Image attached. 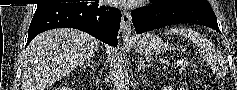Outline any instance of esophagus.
Returning a JSON list of instances; mask_svg holds the SVG:
<instances>
[{"mask_svg": "<svg viewBox=\"0 0 237 90\" xmlns=\"http://www.w3.org/2000/svg\"><path fill=\"white\" fill-rule=\"evenodd\" d=\"M120 34L124 42H132L134 40V36L132 35V19L128 10H123L122 12Z\"/></svg>", "mask_w": 237, "mask_h": 90, "instance_id": "esophagus-1", "label": "esophagus"}]
</instances>
